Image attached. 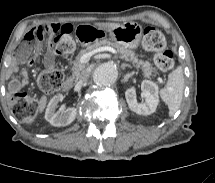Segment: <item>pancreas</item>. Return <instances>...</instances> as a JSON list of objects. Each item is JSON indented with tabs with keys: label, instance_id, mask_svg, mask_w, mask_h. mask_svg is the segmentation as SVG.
<instances>
[{
	"label": "pancreas",
	"instance_id": "pancreas-1",
	"mask_svg": "<svg viewBox=\"0 0 215 183\" xmlns=\"http://www.w3.org/2000/svg\"><path fill=\"white\" fill-rule=\"evenodd\" d=\"M101 46H111L114 47L118 50V52L121 55V58L125 59L126 61H131L133 64H135V66L137 68H141L144 76L147 78H150V76L153 73V68L151 66V63L148 61H142V60H138L135 56V53L131 50H128L127 48L115 43V42H110L107 40H100V41H96L95 43L89 45L86 49L82 50L75 58V60L72 63V78L73 79H78L80 77L81 72L86 68V66L82 63H80V58L98 48Z\"/></svg>",
	"mask_w": 215,
	"mask_h": 183
}]
</instances>
